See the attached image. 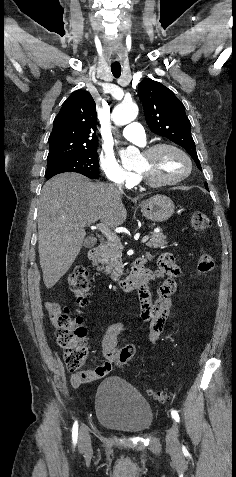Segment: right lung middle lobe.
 <instances>
[{
	"label": "right lung middle lobe",
	"mask_w": 236,
	"mask_h": 477,
	"mask_svg": "<svg viewBox=\"0 0 236 477\" xmlns=\"http://www.w3.org/2000/svg\"><path fill=\"white\" fill-rule=\"evenodd\" d=\"M64 172H75L90 179H98L97 145L81 148L70 155L48 160L45 172L47 179Z\"/></svg>",
	"instance_id": "1"
}]
</instances>
